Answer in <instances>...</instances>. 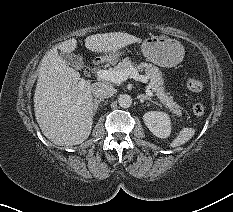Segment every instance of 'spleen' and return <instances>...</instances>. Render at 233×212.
Here are the masks:
<instances>
[{
	"instance_id": "1",
	"label": "spleen",
	"mask_w": 233,
	"mask_h": 212,
	"mask_svg": "<svg viewBox=\"0 0 233 212\" xmlns=\"http://www.w3.org/2000/svg\"><path fill=\"white\" fill-rule=\"evenodd\" d=\"M195 134L194 128H183L177 137L170 143L171 147H178L180 145L185 144L187 141H189Z\"/></svg>"
}]
</instances>
